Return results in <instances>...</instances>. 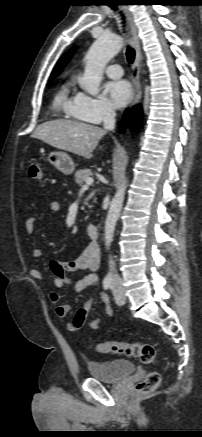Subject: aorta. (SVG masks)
Masks as SVG:
<instances>
[{
  "label": "aorta",
  "instance_id": "obj_1",
  "mask_svg": "<svg viewBox=\"0 0 202 437\" xmlns=\"http://www.w3.org/2000/svg\"><path fill=\"white\" fill-rule=\"evenodd\" d=\"M123 39L117 35L104 34L100 36L90 47L85 57V70L80 87L88 94L96 96L99 93V85L103 71L107 63L122 48ZM127 181L124 180L111 201L105 221V246L108 248L113 240L115 226L120 216L124 202Z\"/></svg>",
  "mask_w": 202,
  "mask_h": 437
}]
</instances>
